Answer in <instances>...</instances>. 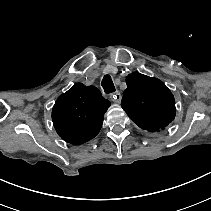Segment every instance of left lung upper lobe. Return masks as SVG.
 Listing matches in <instances>:
<instances>
[{
	"label": "left lung upper lobe",
	"mask_w": 211,
	"mask_h": 211,
	"mask_svg": "<svg viewBox=\"0 0 211 211\" xmlns=\"http://www.w3.org/2000/svg\"><path fill=\"white\" fill-rule=\"evenodd\" d=\"M126 84L121 106L141 129L159 132L174 120L175 99L162 81L133 72Z\"/></svg>",
	"instance_id": "left-lung-upper-lobe-1"
}]
</instances>
